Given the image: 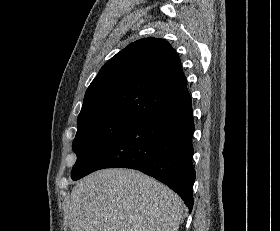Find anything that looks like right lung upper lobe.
<instances>
[{
    "mask_svg": "<svg viewBox=\"0 0 280 231\" xmlns=\"http://www.w3.org/2000/svg\"><path fill=\"white\" fill-rule=\"evenodd\" d=\"M186 85L174 48L163 39H140L103 65L86 91L78 120L123 117L141 121L189 102Z\"/></svg>",
    "mask_w": 280,
    "mask_h": 231,
    "instance_id": "cb5924a9",
    "label": "right lung upper lobe"
}]
</instances>
